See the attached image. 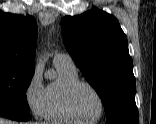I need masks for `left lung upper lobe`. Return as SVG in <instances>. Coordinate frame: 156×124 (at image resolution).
<instances>
[{
    "mask_svg": "<svg viewBox=\"0 0 156 124\" xmlns=\"http://www.w3.org/2000/svg\"><path fill=\"white\" fill-rule=\"evenodd\" d=\"M61 27L66 49L103 102L107 124H139L133 62L118 20L92 9L64 17Z\"/></svg>",
    "mask_w": 156,
    "mask_h": 124,
    "instance_id": "1",
    "label": "left lung upper lobe"
}]
</instances>
